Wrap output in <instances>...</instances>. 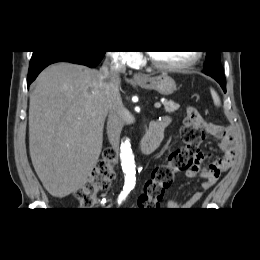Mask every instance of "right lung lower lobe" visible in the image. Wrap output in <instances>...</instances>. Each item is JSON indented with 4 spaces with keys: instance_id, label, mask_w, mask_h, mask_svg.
<instances>
[{
    "instance_id": "98d812e1",
    "label": "right lung lower lobe",
    "mask_w": 260,
    "mask_h": 260,
    "mask_svg": "<svg viewBox=\"0 0 260 260\" xmlns=\"http://www.w3.org/2000/svg\"><path fill=\"white\" fill-rule=\"evenodd\" d=\"M106 51H34L30 60L27 86L36 79L38 74L48 65L56 62H71L88 67L97 66Z\"/></svg>"
}]
</instances>
